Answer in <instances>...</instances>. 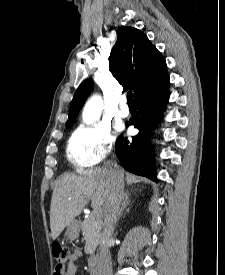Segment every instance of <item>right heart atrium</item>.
<instances>
[{
    "mask_svg": "<svg viewBox=\"0 0 225 275\" xmlns=\"http://www.w3.org/2000/svg\"><path fill=\"white\" fill-rule=\"evenodd\" d=\"M112 139L107 127L79 128L69 140V158L80 169L95 168L108 154Z\"/></svg>",
    "mask_w": 225,
    "mask_h": 275,
    "instance_id": "right-heart-atrium-1",
    "label": "right heart atrium"
}]
</instances>
